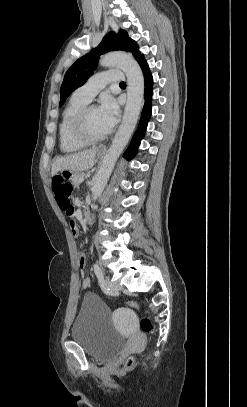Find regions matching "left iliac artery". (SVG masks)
Returning <instances> with one entry per match:
<instances>
[{
  "mask_svg": "<svg viewBox=\"0 0 247 407\" xmlns=\"http://www.w3.org/2000/svg\"><path fill=\"white\" fill-rule=\"evenodd\" d=\"M94 272L96 274V277L98 279V282H99V285H100L101 289L103 290L104 293H108L109 289L105 285L104 275H103V272H102V270H101V268L99 267L98 264H94Z\"/></svg>",
  "mask_w": 247,
  "mask_h": 407,
  "instance_id": "1",
  "label": "left iliac artery"
}]
</instances>
